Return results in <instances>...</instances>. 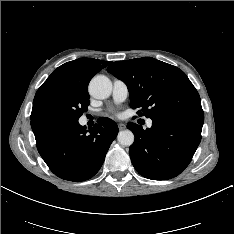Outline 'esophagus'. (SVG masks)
Here are the masks:
<instances>
[{
  "instance_id": "1",
  "label": "esophagus",
  "mask_w": 234,
  "mask_h": 234,
  "mask_svg": "<svg viewBox=\"0 0 234 234\" xmlns=\"http://www.w3.org/2000/svg\"><path fill=\"white\" fill-rule=\"evenodd\" d=\"M118 128H119V130H124L126 128V126L123 123H119Z\"/></svg>"
}]
</instances>
